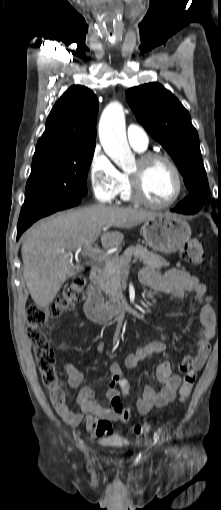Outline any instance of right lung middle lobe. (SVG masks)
Returning <instances> with one entry per match:
<instances>
[{"label": "right lung middle lobe", "mask_w": 221, "mask_h": 510, "mask_svg": "<svg viewBox=\"0 0 221 510\" xmlns=\"http://www.w3.org/2000/svg\"><path fill=\"white\" fill-rule=\"evenodd\" d=\"M95 147L33 158L24 206L50 210L87 194V174Z\"/></svg>", "instance_id": "right-lung-middle-lobe-1"}]
</instances>
